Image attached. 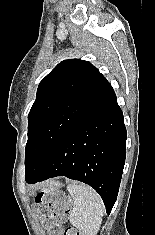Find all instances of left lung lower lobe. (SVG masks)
<instances>
[{
	"label": "left lung lower lobe",
	"mask_w": 155,
	"mask_h": 235,
	"mask_svg": "<svg viewBox=\"0 0 155 235\" xmlns=\"http://www.w3.org/2000/svg\"><path fill=\"white\" fill-rule=\"evenodd\" d=\"M126 128L110 85L93 108L65 135L27 183L56 176L84 182L102 197L109 214L117 199L125 163Z\"/></svg>",
	"instance_id": "left-lung-lower-lobe-1"
}]
</instances>
